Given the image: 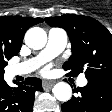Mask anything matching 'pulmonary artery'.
Here are the masks:
<instances>
[{
	"label": "pulmonary artery",
	"mask_w": 112,
	"mask_h": 112,
	"mask_svg": "<svg viewBox=\"0 0 112 112\" xmlns=\"http://www.w3.org/2000/svg\"><path fill=\"white\" fill-rule=\"evenodd\" d=\"M67 44V34L63 29L52 28L48 31V41L46 47L40 52V54L28 61L20 64L13 65L10 68V72L13 76L25 75L34 70L41 63L48 61L49 59L60 54ZM87 79L81 77L78 80L79 86H85Z\"/></svg>",
	"instance_id": "obj_1"
}]
</instances>
